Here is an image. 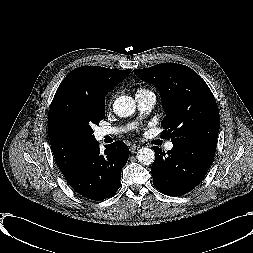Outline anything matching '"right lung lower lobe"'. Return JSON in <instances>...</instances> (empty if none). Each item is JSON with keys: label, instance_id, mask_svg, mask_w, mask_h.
<instances>
[{"label": "right lung lower lobe", "instance_id": "1", "mask_svg": "<svg viewBox=\"0 0 253 253\" xmlns=\"http://www.w3.org/2000/svg\"><path fill=\"white\" fill-rule=\"evenodd\" d=\"M100 152L97 141L92 144L66 180L82 196L102 200L120 187L121 170L129 157V149L121 141L105 146Z\"/></svg>", "mask_w": 253, "mask_h": 253}]
</instances>
